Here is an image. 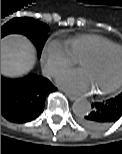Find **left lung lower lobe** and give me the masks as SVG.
I'll use <instances>...</instances> for the list:
<instances>
[{"instance_id": "1", "label": "left lung lower lobe", "mask_w": 122, "mask_h": 154, "mask_svg": "<svg viewBox=\"0 0 122 154\" xmlns=\"http://www.w3.org/2000/svg\"><path fill=\"white\" fill-rule=\"evenodd\" d=\"M122 116V93L104 102L92 104V111L80 117V123L91 130H103Z\"/></svg>"}]
</instances>
